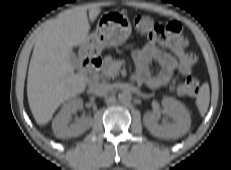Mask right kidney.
<instances>
[{"mask_svg": "<svg viewBox=\"0 0 231 170\" xmlns=\"http://www.w3.org/2000/svg\"><path fill=\"white\" fill-rule=\"evenodd\" d=\"M82 108L83 100L81 98H74L63 105L52 122V130L56 137L62 139L77 137L92 126L91 118H85L69 125L72 114Z\"/></svg>", "mask_w": 231, "mask_h": 170, "instance_id": "right-kidney-1", "label": "right kidney"}]
</instances>
